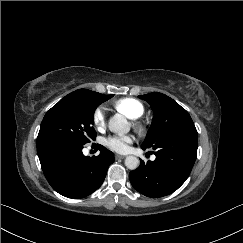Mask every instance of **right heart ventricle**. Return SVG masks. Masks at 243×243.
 Segmentation results:
<instances>
[{
	"instance_id": "1",
	"label": "right heart ventricle",
	"mask_w": 243,
	"mask_h": 243,
	"mask_svg": "<svg viewBox=\"0 0 243 243\" xmlns=\"http://www.w3.org/2000/svg\"><path fill=\"white\" fill-rule=\"evenodd\" d=\"M113 107L118 112L132 120L140 118L144 113V106L134 98H122L113 103Z\"/></svg>"
}]
</instances>
